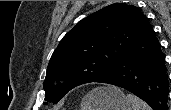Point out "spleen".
<instances>
[{
    "instance_id": "spleen-1",
    "label": "spleen",
    "mask_w": 171,
    "mask_h": 110,
    "mask_svg": "<svg viewBox=\"0 0 171 110\" xmlns=\"http://www.w3.org/2000/svg\"><path fill=\"white\" fill-rule=\"evenodd\" d=\"M126 98L131 104L132 110H151V108L143 100L133 94H128Z\"/></svg>"
}]
</instances>
